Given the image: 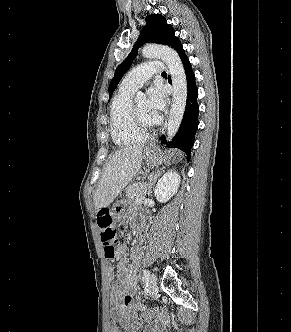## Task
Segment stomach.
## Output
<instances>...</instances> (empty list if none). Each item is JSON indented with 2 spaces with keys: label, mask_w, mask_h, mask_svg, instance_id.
<instances>
[{
  "label": "stomach",
  "mask_w": 291,
  "mask_h": 332,
  "mask_svg": "<svg viewBox=\"0 0 291 332\" xmlns=\"http://www.w3.org/2000/svg\"><path fill=\"white\" fill-rule=\"evenodd\" d=\"M144 160L147 164L155 165L158 162L157 157V147L155 145H150L144 151ZM128 202L126 201H117L114 206V214L116 218H119L120 213L124 210L125 206H127Z\"/></svg>",
  "instance_id": "stomach-1"
}]
</instances>
